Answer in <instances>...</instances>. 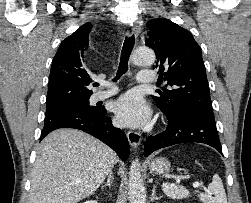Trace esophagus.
Instances as JSON below:
<instances>
[{
  "mask_svg": "<svg viewBox=\"0 0 251 203\" xmlns=\"http://www.w3.org/2000/svg\"><path fill=\"white\" fill-rule=\"evenodd\" d=\"M132 32L135 36H138L139 33H140V27L138 25H134L132 27ZM127 138H128V141L130 143V145L136 149L140 146L141 144V135L136 132V131H133V130H130L127 132Z\"/></svg>",
  "mask_w": 251,
  "mask_h": 203,
  "instance_id": "34e87169",
  "label": "esophagus"
}]
</instances>
